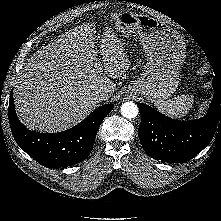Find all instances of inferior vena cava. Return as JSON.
Instances as JSON below:
<instances>
[{"label":"inferior vena cava","instance_id":"inferior-vena-cava-1","mask_svg":"<svg viewBox=\"0 0 221 221\" xmlns=\"http://www.w3.org/2000/svg\"><path fill=\"white\" fill-rule=\"evenodd\" d=\"M107 97H108L107 93L103 90L96 91V92L92 93L93 100H95L98 103L103 101V100H106Z\"/></svg>","mask_w":221,"mask_h":221}]
</instances>
